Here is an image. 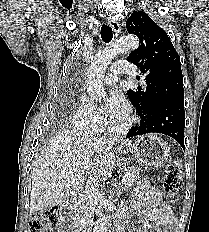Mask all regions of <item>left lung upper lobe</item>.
Wrapping results in <instances>:
<instances>
[{"instance_id":"left-lung-upper-lobe-1","label":"left lung upper lobe","mask_w":209,"mask_h":232,"mask_svg":"<svg viewBox=\"0 0 209 232\" xmlns=\"http://www.w3.org/2000/svg\"><path fill=\"white\" fill-rule=\"evenodd\" d=\"M126 28L140 39L127 61L136 64L146 79L145 87L127 92L136 113L141 116L159 105L184 102L180 57L167 33L143 11L133 12Z\"/></svg>"}]
</instances>
